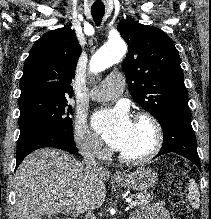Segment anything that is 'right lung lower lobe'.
<instances>
[{
	"mask_svg": "<svg viewBox=\"0 0 211 219\" xmlns=\"http://www.w3.org/2000/svg\"><path fill=\"white\" fill-rule=\"evenodd\" d=\"M54 147L70 153H77L73 134L68 135L54 129H38L23 136H19L17 144L16 168L21 161L32 151Z\"/></svg>",
	"mask_w": 211,
	"mask_h": 219,
	"instance_id": "98d812e1",
	"label": "right lung lower lobe"
}]
</instances>
